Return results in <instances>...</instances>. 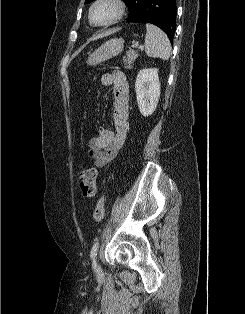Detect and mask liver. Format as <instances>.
<instances>
[{"label": "liver", "mask_w": 245, "mask_h": 314, "mask_svg": "<svg viewBox=\"0 0 245 314\" xmlns=\"http://www.w3.org/2000/svg\"><path fill=\"white\" fill-rule=\"evenodd\" d=\"M110 33H111L110 31L101 33V34H99V35L96 37V39H97V38H103V37H105V36H108Z\"/></svg>", "instance_id": "obj_1"}]
</instances>
